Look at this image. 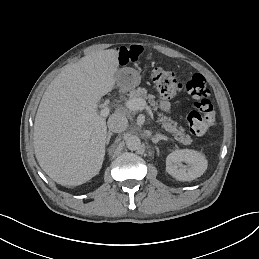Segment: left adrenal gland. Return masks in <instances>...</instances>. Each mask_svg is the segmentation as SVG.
<instances>
[{
  "label": "left adrenal gland",
  "instance_id": "left-adrenal-gland-1",
  "mask_svg": "<svg viewBox=\"0 0 259 259\" xmlns=\"http://www.w3.org/2000/svg\"><path fill=\"white\" fill-rule=\"evenodd\" d=\"M152 142L153 143H158L160 140H165L167 141L168 140V137L167 136H164L162 134H156L154 135L152 138H151Z\"/></svg>",
  "mask_w": 259,
  "mask_h": 259
}]
</instances>
